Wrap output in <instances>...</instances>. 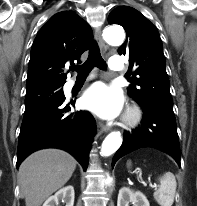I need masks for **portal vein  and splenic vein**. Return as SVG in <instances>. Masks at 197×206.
Returning <instances> with one entry per match:
<instances>
[{
	"mask_svg": "<svg viewBox=\"0 0 197 206\" xmlns=\"http://www.w3.org/2000/svg\"><path fill=\"white\" fill-rule=\"evenodd\" d=\"M143 184L146 186V183H145V182H143ZM150 185L153 186V187H155V188H157V184H155V183H154L153 185H152V183H150Z\"/></svg>",
	"mask_w": 197,
	"mask_h": 206,
	"instance_id": "1",
	"label": "portal vein and splenic vein"
}]
</instances>
